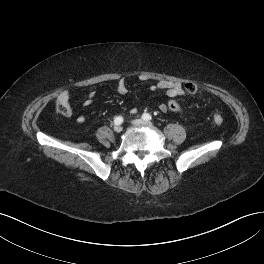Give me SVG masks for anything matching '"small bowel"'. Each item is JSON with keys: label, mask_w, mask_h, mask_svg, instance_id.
<instances>
[{"label": "small bowel", "mask_w": 264, "mask_h": 264, "mask_svg": "<svg viewBox=\"0 0 264 264\" xmlns=\"http://www.w3.org/2000/svg\"><path fill=\"white\" fill-rule=\"evenodd\" d=\"M139 79L141 81L147 80L145 76H140ZM116 90L120 95H124L128 92L127 83L124 78L118 79L117 84H116ZM150 90L151 91L164 90L166 95L169 97H181V96H184L185 94L181 83L173 82L170 80H160L156 84L151 85ZM94 95H95L94 92L90 93L89 97L84 100L83 104L85 106L91 105L93 102ZM57 101H58V104L63 105L66 108L67 110L66 116H71L72 110L70 106V92L68 90H63L58 95ZM159 109L161 112H166L167 111L166 104H161L159 106ZM84 121H85V117L83 115H79L76 117V122L78 124H82L84 123Z\"/></svg>", "instance_id": "1"}]
</instances>
